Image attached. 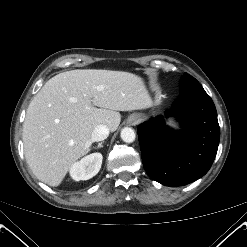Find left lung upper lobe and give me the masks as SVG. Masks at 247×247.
Instances as JSON below:
<instances>
[{
	"label": "left lung upper lobe",
	"mask_w": 247,
	"mask_h": 247,
	"mask_svg": "<svg viewBox=\"0 0 247 247\" xmlns=\"http://www.w3.org/2000/svg\"><path fill=\"white\" fill-rule=\"evenodd\" d=\"M190 78H192V76H190L189 74L185 73V74L183 75V77L181 78V81L187 80V79H190Z\"/></svg>",
	"instance_id": "5c2ea615"
}]
</instances>
